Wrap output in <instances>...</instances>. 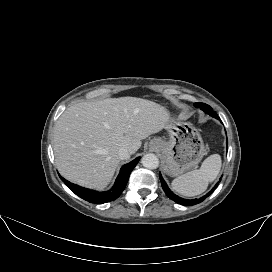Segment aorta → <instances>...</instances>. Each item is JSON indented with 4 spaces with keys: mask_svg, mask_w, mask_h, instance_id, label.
Instances as JSON below:
<instances>
[{
    "mask_svg": "<svg viewBox=\"0 0 272 272\" xmlns=\"http://www.w3.org/2000/svg\"><path fill=\"white\" fill-rule=\"evenodd\" d=\"M141 163L148 169H156L159 166V159L155 154L149 153L142 157Z\"/></svg>",
    "mask_w": 272,
    "mask_h": 272,
    "instance_id": "obj_1",
    "label": "aorta"
}]
</instances>
